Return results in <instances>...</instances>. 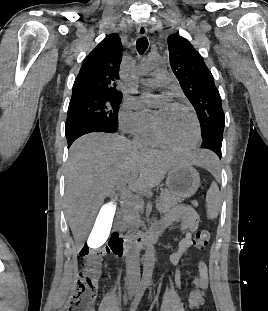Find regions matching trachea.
<instances>
[{
	"label": "trachea",
	"mask_w": 268,
	"mask_h": 311,
	"mask_svg": "<svg viewBox=\"0 0 268 311\" xmlns=\"http://www.w3.org/2000/svg\"><path fill=\"white\" fill-rule=\"evenodd\" d=\"M136 47L140 55L144 54L148 48V39L146 37L139 38L136 42Z\"/></svg>",
	"instance_id": "3493384b"
}]
</instances>
